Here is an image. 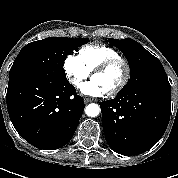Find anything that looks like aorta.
<instances>
[{
  "label": "aorta",
  "instance_id": "aorta-1",
  "mask_svg": "<svg viewBox=\"0 0 178 178\" xmlns=\"http://www.w3.org/2000/svg\"><path fill=\"white\" fill-rule=\"evenodd\" d=\"M85 113L89 117H96L100 113V107L98 104L91 103L86 106Z\"/></svg>",
  "mask_w": 178,
  "mask_h": 178
}]
</instances>
